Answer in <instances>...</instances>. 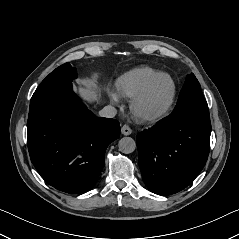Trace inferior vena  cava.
<instances>
[{"instance_id": "1", "label": "inferior vena cava", "mask_w": 239, "mask_h": 239, "mask_svg": "<svg viewBox=\"0 0 239 239\" xmlns=\"http://www.w3.org/2000/svg\"><path fill=\"white\" fill-rule=\"evenodd\" d=\"M117 114V110L115 107L108 105L105 106L102 110L99 111V115L101 117H106V118H113Z\"/></svg>"}]
</instances>
